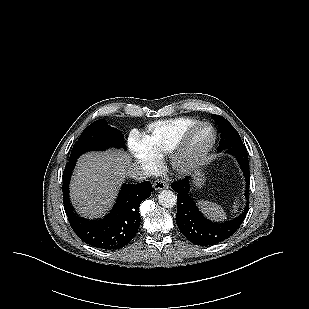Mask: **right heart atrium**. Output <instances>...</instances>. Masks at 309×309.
Instances as JSON below:
<instances>
[{"instance_id":"obj_1","label":"right heart atrium","mask_w":309,"mask_h":309,"mask_svg":"<svg viewBox=\"0 0 309 309\" xmlns=\"http://www.w3.org/2000/svg\"><path fill=\"white\" fill-rule=\"evenodd\" d=\"M131 149L134 158L138 165L142 167L146 174H152L157 169V158H155L151 153H149L138 141L134 139L131 142Z\"/></svg>"}]
</instances>
